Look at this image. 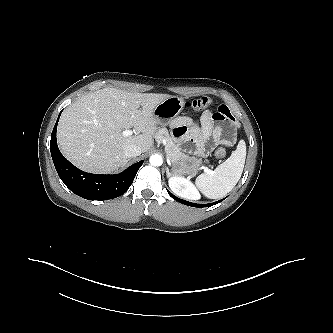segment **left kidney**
<instances>
[{
  "label": "left kidney",
  "instance_id": "1",
  "mask_svg": "<svg viewBox=\"0 0 333 333\" xmlns=\"http://www.w3.org/2000/svg\"><path fill=\"white\" fill-rule=\"evenodd\" d=\"M169 187L176 195L180 197L191 200L200 199L198 190L188 179L176 176L170 177Z\"/></svg>",
  "mask_w": 333,
  "mask_h": 333
}]
</instances>
